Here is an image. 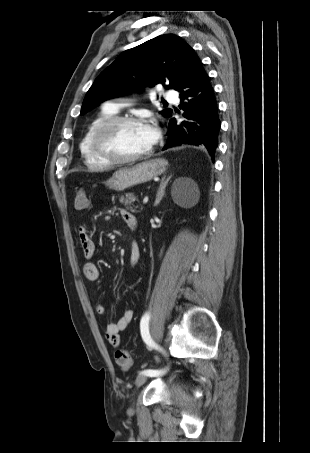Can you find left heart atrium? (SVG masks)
Listing matches in <instances>:
<instances>
[{
  "label": "left heart atrium",
  "instance_id": "obj_1",
  "mask_svg": "<svg viewBox=\"0 0 310 453\" xmlns=\"http://www.w3.org/2000/svg\"><path fill=\"white\" fill-rule=\"evenodd\" d=\"M144 133L147 141L151 146L157 141L159 137V131L157 127L152 124L144 125Z\"/></svg>",
  "mask_w": 310,
  "mask_h": 453
}]
</instances>
